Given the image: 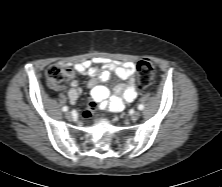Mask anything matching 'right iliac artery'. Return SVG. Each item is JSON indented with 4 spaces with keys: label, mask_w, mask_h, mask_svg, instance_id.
Wrapping results in <instances>:
<instances>
[{
    "label": "right iliac artery",
    "mask_w": 222,
    "mask_h": 187,
    "mask_svg": "<svg viewBox=\"0 0 222 187\" xmlns=\"http://www.w3.org/2000/svg\"><path fill=\"white\" fill-rule=\"evenodd\" d=\"M62 110H63L64 112H66V111H68V107H67V106H64V107L62 108Z\"/></svg>",
    "instance_id": "obj_1"
}]
</instances>
